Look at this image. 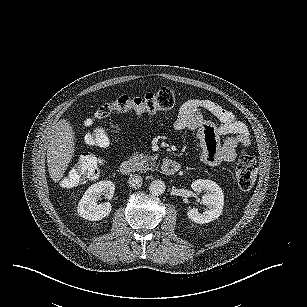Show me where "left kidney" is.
I'll return each instance as SVG.
<instances>
[{
    "label": "left kidney",
    "mask_w": 307,
    "mask_h": 307,
    "mask_svg": "<svg viewBox=\"0 0 307 307\" xmlns=\"http://www.w3.org/2000/svg\"><path fill=\"white\" fill-rule=\"evenodd\" d=\"M194 191H206L202 203L208 207L199 212L197 208H192L188 212V217L196 223H208L218 218L224 209V193L222 188L209 179H197L191 184Z\"/></svg>",
    "instance_id": "obj_1"
}]
</instances>
